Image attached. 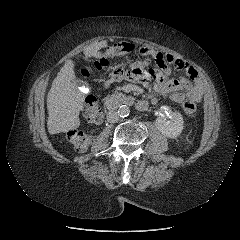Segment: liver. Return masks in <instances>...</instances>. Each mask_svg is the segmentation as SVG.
Returning a JSON list of instances; mask_svg holds the SVG:
<instances>
[{"label":"liver","instance_id":"liver-1","mask_svg":"<svg viewBox=\"0 0 240 240\" xmlns=\"http://www.w3.org/2000/svg\"><path fill=\"white\" fill-rule=\"evenodd\" d=\"M108 45L106 40L92 43L84 49L86 59L100 57V50ZM74 62L66 61L52 82L47 96L50 134L66 133L79 127V113L83 108L84 95L75 84Z\"/></svg>","mask_w":240,"mask_h":240}]
</instances>
